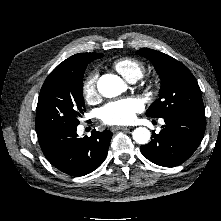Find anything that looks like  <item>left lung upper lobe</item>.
Returning a JSON list of instances; mask_svg holds the SVG:
<instances>
[{
	"instance_id": "obj_1",
	"label": "left lung upper lobe",
	"mask_w": 221,
	"mask_h": 221,
	"mask_svg": "<svg viewBox=\"0 0 221 221\" xmlns=\"http://www.w3.org/2000/svg\"><path fill=\"white\" fill-rule=\"evenodd\" d=\"M137 54L152 62L161 79L159 98L147 110L148 117L165 118L177 114L204 116L199 85L184 64L169 55L148 48L140 49Z\"/></svg>"
}]
</instances>
